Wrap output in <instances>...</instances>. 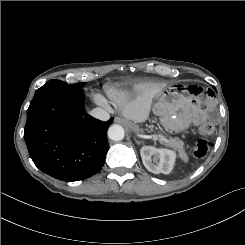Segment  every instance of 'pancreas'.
I'll return each instance as SVG.
<instances>
[{
	"label": "pancreas",
	"mask_w": 245,
	"mask_h": 245,
	"mask_svg": "<svg viewBox=\"0 0 245 245\" xmlns=\"http://www.w3.org/2000/svg\"><path fill=\"white\" fill-rule=\"evenodd\" d=\"M166 145L176 150L182 160H187V154L184 150V142L178 138H170L166 141Z\"/></svg>",
	"instance_id": "cf45deb5"
}]
</instances>
